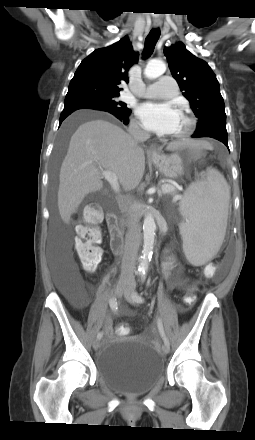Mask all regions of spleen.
<instances>
[{"instance_id":"1","label":"spleen","mask_w":255,"mask_h":440,"mask_svg":"<svg viewBox=\"0 0 255 440\" xmlns=\"http://www.w3.org/2000/svg\"><path fill=\"white\" fill-rule=\"evenodd\" d=\"M229 189L224 177L211 170L205 181L192 183L180 202V234L187 259L202 265L214 257L222 245L228 219Z\"/></svg>"}]
</instances>
